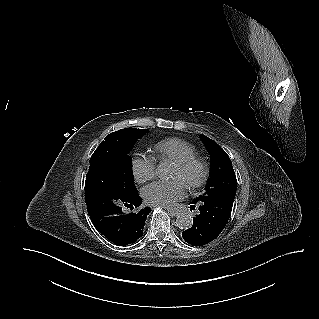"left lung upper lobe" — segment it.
<instances>
[{"label": "left lung upper lobe", "instance_id": "left-lung-upper-lobe-1", "mask_svg": "<svg viewBox=\"0 0 319 319\" xmlns=\"http://www.w3.org/2000/svg\"><path fill=\"white\" fill-rule=\"evenodd\" d=\"M201 139L211 156V173L205 191L194 202L224 193H236L237 180L232 162L227 153L212 139L201 135Z\"/></svg>", "mask_w": 319, "mask_h": 319}]
</instances>
